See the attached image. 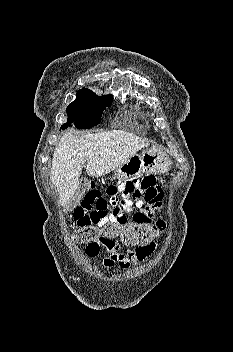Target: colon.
<instances>
[{
    "label": "colon",
    "instance_id": "obj_1",
    "mask_svg": "<svg viewBox=\"0 0 233 352\" xmlns=\"http://www.w3.org/2000/svg\"><path fill=\"white\" fill-rule=\"evenodd\" d=\"M166 223L160 219L150 224H108L99 227L95 221L83 223L74 232V240L80 244L89 246L97 242L110 239H119L129 246H141L149 244L155 237L164 232Z\"/></svg>",
    "mask_w": 233,
    "mask_h": 352
}]
</instances>
